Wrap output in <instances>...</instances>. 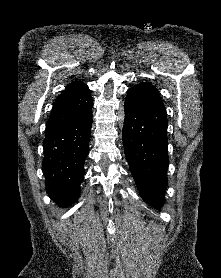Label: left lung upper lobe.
Masks as SVG:
<instances>
[{
	"instance_id": "left-lung-upper-lobe-1",
	"label": "left lung upper lobe",
	"mask_w": 221,
	"mask_h": 278,
	"mask_svg": "<svg viewBox=\"0 0 221 278\" xmlns=\"http://www.w3.org/2000/svg\"><path fill=\"white\" fill-rule=\"evenodd\" d=\"M125 101L140 108H164L159 92L148 82L140 83L130 88Z\"/></svg>"
}]
</instances>
